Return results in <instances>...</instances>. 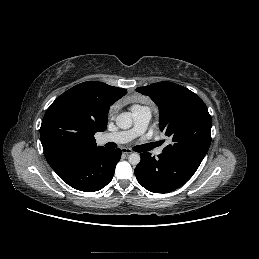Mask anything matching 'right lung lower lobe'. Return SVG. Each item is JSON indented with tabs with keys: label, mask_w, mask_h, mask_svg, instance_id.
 I'll use <instances>...</instances> for the list:
<instances>
[{
	"label": "right lung lower lobe",
	"mask_w": 259,
	"mask_h": 259,
	"mask_svg": "<svg viewBox=\"0 0 259 259\" xmlns=\"http://www.w3.org/2000/svg\"><path fill=\"white\" fill-rule=\"evenodd\" d=\"M120 158L119 148L114 150L103 148L71 156L52 168L74 189L94 192L110 183Z\"/></svg>",
	"instance_id": "right-lung-lower-lobe-1"
}]
</instances>
